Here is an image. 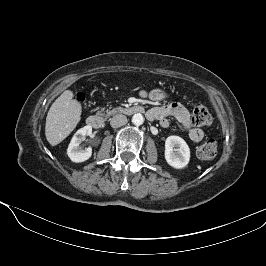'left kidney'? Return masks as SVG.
<instances>
[{"label":"left kidney","mask_w":266,"mask_h":266,"mask_svg":"<svg viewBox=\"0 0 266 266\" xmlns=\"http://www.w3.org/2000/svg\"><path fill=\"white\" fill-rule=\"evenodd\" d=\"M165 160L175 169L187 166L190 160V149L187 143L179 136H169L165 141Z\"/></svg>","instance_id":"1"}]
</instances>
